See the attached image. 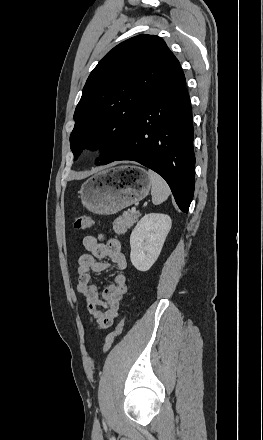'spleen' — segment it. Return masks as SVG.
<instances>
[{
	"label": "spleen",
	"mask_w": 263,
	"mask_h": 440,
	"mask_svg": "<svg viewBox=\"0 0 263 440\" xmlns=\"http://www.w3.org/2000/svg\"><path fill=\"white\" fill-rule=\"evenodd\" d=\"M148 175L151 180V195L152 201L155 205L164 202L170 195V188L166 181L156 172L148 170Z\"/></svg>",
	"instance_id": "3e777b00"
}]
</instances>
